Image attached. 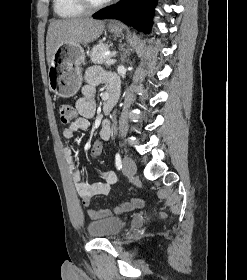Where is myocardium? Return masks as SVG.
<instances>
[{"instance_id":"1","label":"myocardium","mask_w":247,"mask_h":280,"mask_svg":"<svg viewBox=\"0 0 247 280\" xmlns=\"http://www.w3.org/2000/svg\"><path fill=\"white\" fill-rule=\"evenodd\" d=\"M113 0L94 2L93 0H78V3L87 11H95L109 5Z\"/></svg>"}]
</instances>
